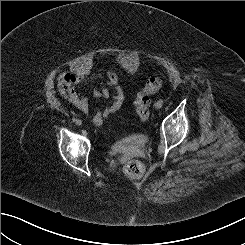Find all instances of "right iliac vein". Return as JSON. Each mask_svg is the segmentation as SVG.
<instances>
[{
  "instance_id": "1",
  "label": "right iliac vein",
  "mask_w": 245,
  "mask_h": 245,
  "mask_svg": "<svg viewBox=\"0 0 245 245\" xmlns=\"http://www.w3.org/2000/svg\"><path fill=\"white\" fill-rule=\"evenodd\" d=\"M76 124H77V125H81V124H82V121H81L80 119H78V120L76 121Z\"/></svg>"
}]
</instances>
